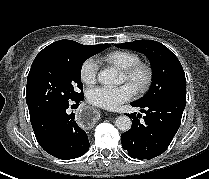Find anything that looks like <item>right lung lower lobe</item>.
I'll use <instances>...</instances> for the list:
<instances>
[{
	"label": "right lung lower lobe",
	"mask_w": 209,
	"mask_h": 179,
	"mask_svg": "<svg viewBox=\"0 0 209 179\" xmlns=\"http://www.w3.org/2000/svg\"><path fill=\"white\" fill-rule=\"evenodd\" d=\"M81 100L83 96L74 101ZM69 103L58 104L31 120L39 145L50 155L64 160L78 158L89 149L86 132L76 123L75 114L67 112Z\"/></svg>",
	"instance_id": "right-lung-lower-lobe-1"
}]
</instances>
